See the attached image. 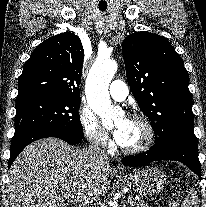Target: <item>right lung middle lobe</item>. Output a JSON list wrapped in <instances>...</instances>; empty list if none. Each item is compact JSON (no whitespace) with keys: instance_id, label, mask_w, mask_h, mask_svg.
Masks as SVG:
<instances>
[{"instance_id":"right-lung-middle-lobe-1","label":"right lung middle lobe","mask_w":206,"mask_h":207,"mask_svg":"<svg viewBox=\"0 0 206 207\" xmlns=\"http://www.w3.org/2000/svg\"><path fill=\"white\" fill-rule=\"evenodd\" d=\"M80 103L79 98L57 95H34L16 100L12 144L43 130H58L83 138Z\"/></svg>"}]
</instances>
